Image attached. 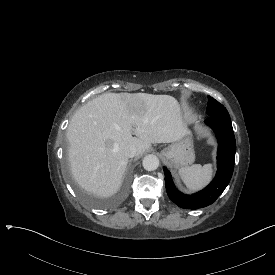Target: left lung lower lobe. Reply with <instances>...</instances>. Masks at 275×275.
<instances>
[{"label":"left lung lower lobe","mask_w":275,"mask_h":275,"mask_svg":"<svg viewBox=\"0 0 275 275\" xmlns=\"http://www.w3.org/2000/svg\"><path fill=\"white\" fill-rule=\"evenodd\" d=\"M205 123L213 129L218 140V170L213 181L202 191L186 195L175 187L170 172L163 167L167 194L177 206L183 209L194 210L211 205L222 194L232 177L236 142L231 120L209 116Z\"/></svg>","instance_id":"1"}]
</instances>
